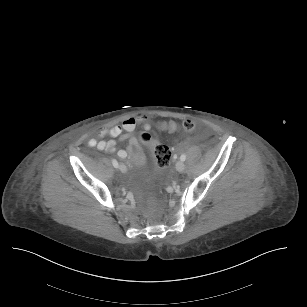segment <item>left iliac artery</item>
I'll list each match as a JSON object with an SVG mask.
<instances>
[{
  "instance_id": "1",
  "label": "left iliac artery",
  "mask_w": 307,
  "mask_h": 307,
  "mask_svg": "<svg viewBox=\"0 0 307 307\" xmlns=\"http://www.w3.org/2000/svg\"><path fill=\"white\" fill-rule=\"evenodd\" d=\"M180 160L185 161V160H186V155H185V154H182V155L180 156Z\"/></svg>"
}]
</instances>
